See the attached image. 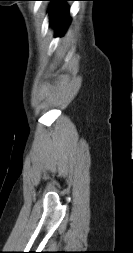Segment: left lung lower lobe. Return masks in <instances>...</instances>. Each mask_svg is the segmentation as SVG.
<instances>
[{
  "mask_svg": "<svg viewBox=\"0 0 133 253\" xmlns=\"http://www.w3.org/2000/svg\"><path fill=\"white\" fill-rule=\"evenodd\" d=\"M55 2L51 5V15L50 24L55 28L56 35H62L70 23V18L68 17L69 10L65 5L66 1L74 0H43Z\"/></svg>",
  "mask_w": 133,
  "mask_h": 253,
  "instance_id": "left-lung-lower-lobe-1",
  "label": "left lung lower lobe"
}]
</instances>
